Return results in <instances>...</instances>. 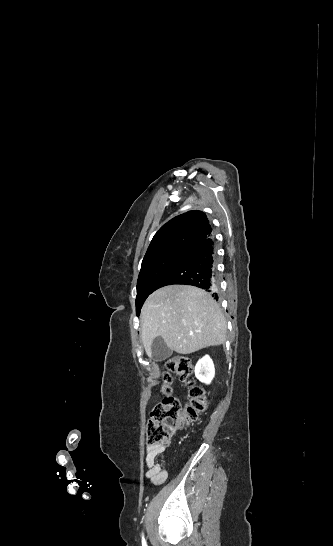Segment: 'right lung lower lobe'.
Listing matches in <instances>:
<instances>
[{
  "instance_id": "obj_1",
  "label": "right lung lower lobe",
  "mask_w": 333,
  "mask_h": 546,
  "mask_svg": "<svg viewBox=\"0 0 333 546\" xmlns=\"http://www.w3.org/2000/svg\"><path fill=\"white\" fill-rule=\"evenodd\" d=\"M172 284L193 285L218 299L216 251L213 235L192 247L167 270L156 284V289Z\"/></svg>"
}]
</instances>
